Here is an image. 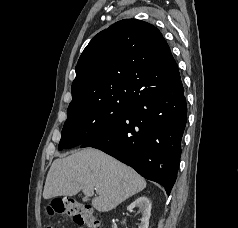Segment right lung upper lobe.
I'll list each match as a JSON object with an SVG mask.
<instances>
[{
  "label": "right lung upper lobe",
  "instance_id": "right-lung-upper-lobe-1",
  "mask_svg": "<svg viewBox=\"0 0 238 228\" xmlns=\"http://www.w3.org/2000/svg\"><path fill=\"white\" fill-rule=\"evenodd\" d=\"M180 79L161 32L124 19L98 33L82 52L67 114L98 103H129Z\"/></svg>",
  "mask_w": 238,
  "mask_h": 228
}]
</instances>
